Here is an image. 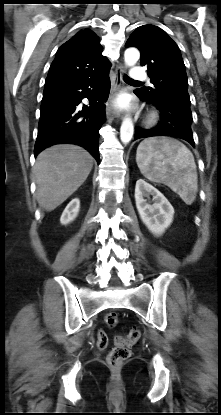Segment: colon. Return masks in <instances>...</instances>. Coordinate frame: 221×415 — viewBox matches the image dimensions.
I'll return each mask as SVG.
<instances>
[{"instance_id":"1","label":"colon","mask_w":221,"mask_h":415,"mask_svg":"<svg viewBox=\"0 0 221 415\" xmlns=\"http://www.w3.org/2000/svg\"><path fill=\"white\" fill-rule=\"evenodd\" d=\"M104 320L109 327L117 324V314L110 312L104 316ZM141 337V331L133 328L126 336H116L114 338V347L108 354V363L112 367L120 366L130 355V347L137 343ZM107 346V336L104 331L100 330L97 334V347L104 349Z\"/></svg>"}]
</instances>
